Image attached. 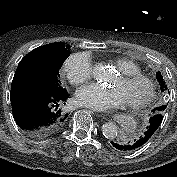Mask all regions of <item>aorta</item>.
Wrapping results in <instances>:
<instances>
[{
	"mask_svg": "<svg viewBox=\"0 0 177 177\" xmlns=\"http://www.w3.org/2000/svg\"><path fill=\"white\" fill-rule=\"evenodd\" d=\"M93 76L98 81L108 82L111 77L110 70L103 64H96L93 68ZM102 133L106 138L113 139L117 136L118 128L113 122H106L102 126Z\"/></svg>",
	"mask_w": 177,
	"mask_h": 177,
	"instance_id": "762f6f07",
	"label": "aorta"
}]
</instances>
